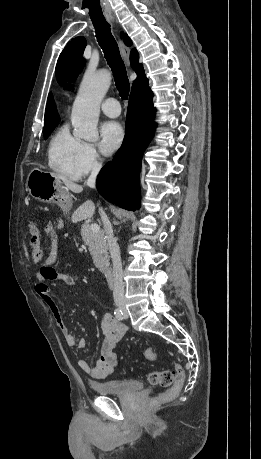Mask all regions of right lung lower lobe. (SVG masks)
Returning <instances> with one entry per match:
<instances>
[{
	"mask_svg": "<svg viewBox=\"0 0 261 459\" xmlns=\"http://www.w3.org/2000/svg\"><path fill=\"white\" fill-rule=\"evenodd\" d=\"M152 98L150 88L130 94L122 146L101 169L96 181L101 196L126 210L135 211L140 207L141 161L156 126Z\"/></svg>",
	"mask_w": 261,
	"mask_h": 459,
	"instance_id": "1",
	"label": "right lung lower lobe"
}]
</instances>
